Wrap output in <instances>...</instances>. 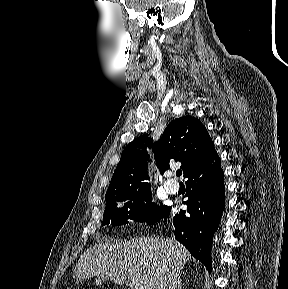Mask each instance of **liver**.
Instances as JSON below:
<instances>
[{
  "mask_svg": "<svg viewBox=\"0 0 288 289\" xmlns=\"http://www.w3.org/2000/svg\"><path fill=\"white\" fill-rule=\"evenodd\" d=\"M189 259V252L173 237L107 241L83 253L73 277L77 283L96 277V284L127 281L131 289H159L167 264L175 262L181 270Z\"/></svg>",
  "mask_w": 288,
  "mask_h": 289,
  "instance_id": "1",
  "label": "liver"
}]
</instances>
